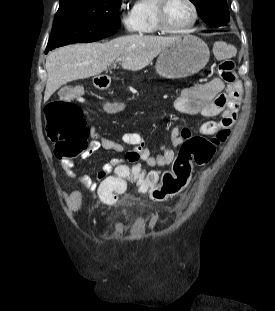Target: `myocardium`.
<instances>
[{
    "label": "myocardium",
    "instance_id": "obj_1",
    "mask_svg": "<svg viewBox=\"0 0 275 311\" xmlns=\"http://www.w3.org/2000/svg\"><path fill=\"white\" fill-rule=\"evenodd\" d=\"M171 0H157L156 5V20L158 29L167 34H184L187 33L197 22L198 20V8L194 2V0H186L192 10V19L190 22L179 29H173L168 26L166 22V11L168 4Z\"/></svg>",
    "mask_w": 275,
    "mask_h": 311
}]
</instances>
